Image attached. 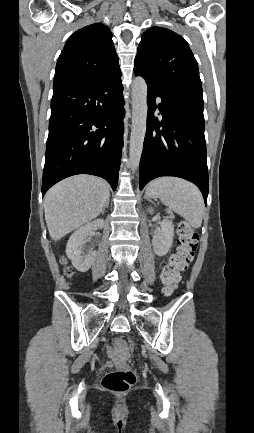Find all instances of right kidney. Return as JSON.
<instances>
[{
  "label": "right kidney",
  "mask_w": 254,
  "mask_h": 433,
  "mask_svg": "<svg viewBox=\"0 0 254 433\" xmlns=\"http://www.w3.org/2000/svg\"><path fill=\"white\" fill-rule=\"evenodd\" d=\"M103 226L104 220L97 219L77 229L69 238L66 254L78 271L87 272L93 264L96 251L93 249L87 250L84 244L88 241V237L91 236L94 229H101Z\"/></svg>",
  "instance_id": "right-kidney-1"
}]
</instances>
